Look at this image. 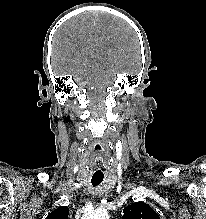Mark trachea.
Listing matches in <instances>:
<instances>
[{
    "label": "trachea",
    "mask_w": 206,
    "mask_h": 219,
    "mask_svg": "<svg viewBox=\"0 0 206 219\" xmlns=\"http://www.w3.org/2000/svg\"><path fill=\"white\" fill-rule=\"evenodd\" d=\"M103 179H104L103 174H94L92 176L91 183L93 186H98L99 184L102 183Z\"/></svg>",
    "instance_id": "obj_1"
}]
</instances>
